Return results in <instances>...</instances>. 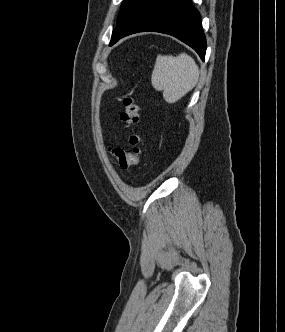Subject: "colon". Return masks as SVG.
Segmentation results:
<instances>
[{"instance_id": "1", "label": "colon", "mask_w": 285, "mask_h": 332, "mask_svg": "<svg viewBox=\"0 0 285 332\" xmlns=\"http://www.w3.org/2000/svg\"><path fill=\"white\" fill-rule=\"evenodd\" d=\"M121 120L129 130V147L111 148L110 153L113 162L121 169L136 167L143 155L142 138L137 130L140 121V108L137 101L132 96L123 98Z\"/></svg>"}]
</instances>
